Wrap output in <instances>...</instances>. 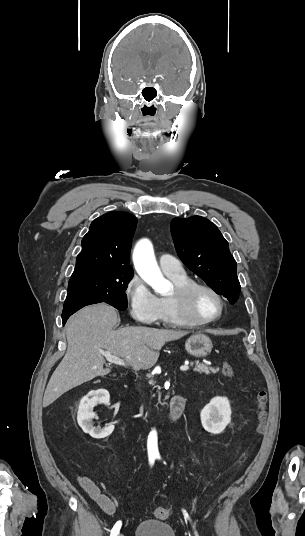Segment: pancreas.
Masks as SVG:
<instances>
[{
	"label": "pancreas",
	"instance_id": "obj_1",
	"mask_svg": "<svg viewBox=\"0 0 305 536\" xmlns=\"http://www.w3.org/2000/svg\"><path fill=\"white\" fill-rule=\"evenodd\" d=\"M196 364L195 368H193V372H199V374H217L219 372V368H212L210 364H199V362H191L190 366H194ZM155 394H153L152 398H154Z\"/></svg>",
	"mask_w": 305,
	"mask_h": 536
}]
</instances>
